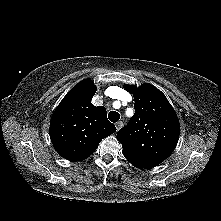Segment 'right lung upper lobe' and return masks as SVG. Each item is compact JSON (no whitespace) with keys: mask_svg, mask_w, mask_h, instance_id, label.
Wrapping results in <instances>:
<instances>
[{"mask_svg":"<svg viewBox=\"0 0 221 221\" xmlns=\"http://www.w3.org/2000/svg\"><path fill=\"white\" fill-rule=\"evenodd\" d=\"M97 88L90 79L74 86L62 99L50 120V138L55 150L69 161L88 158L103 138L116 131L103 106L95 107Z\"/></svg>","mask_w":221,"mask_h":221,"instance_id":"right-lung-upper-lobe-1","label":"right lung upper lobe"}]
</instances>
